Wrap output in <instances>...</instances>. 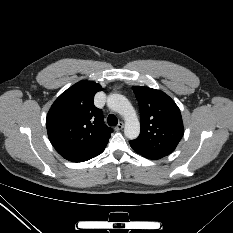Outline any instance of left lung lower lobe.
Here are the masks:
<instances>
[{"instance_id":"0a47b994","label":"left lung lower lobe","mask_w":233,"mask_h":233,"mask_svg":"<svg viewBox=\"0 0 233 233\" xmlns=\"http://www.w3.org/2000/svg\"><path fill=\"white\" fill-rule=\"evenodd\" d=\"M130 146L133 148L134 151H136L137 153H139L140 155H142L148 159L156 160V159H160V158L164 157L161 154L152 152V151L142 147L141 145L136 143L134 140L130 141Z\"/></svg>"}]
</instances>
